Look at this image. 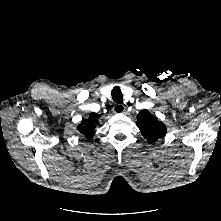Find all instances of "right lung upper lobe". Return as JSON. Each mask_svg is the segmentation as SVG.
<instances>
[{
	"mask_svg": "<svg viewBox=\"0 0 221 221\" xmlns=\"http://www.w3.org/2000/svg\"><path fill=\"white\" fill-rule=\"evenodd\" d=\"M100 118L99 114L91 113L87 120H83L81 124L78 126V130L80 133L84 134L87 139H91L95 132L94 129L98 124V119Z\"/></svg>",
	"mask_w": 221,
	"mask_h": 221,
	"instance_id": "1",
	"label": "right lung upper lobe"
}]
</instances>
